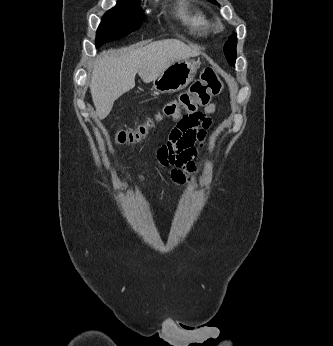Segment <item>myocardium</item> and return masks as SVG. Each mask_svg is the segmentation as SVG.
<instances>
[{
	"label": "myocardium",
	"instance_id": "myocardium-1",
	"mask_svg": "<svg viewBox=\"0 0 333 346\" xmlns=\"http://www.w3.org/2000/svg\"><path fill=\"white\" fill-rule=\"evenodd\" d=\"M218 29H219V30H221V29H222V26H221V25H219V26H218Z\"/></svg>",
	"mask_w": 333,
	"mask_h": 346
}]
</instances>
